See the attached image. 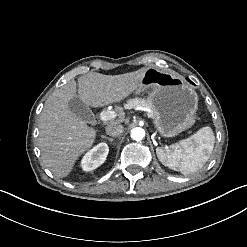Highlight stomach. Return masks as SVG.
I'll use <instances>...</instances> for the list:
<instances>
[{"label":"stomach","instance_id":"stomach-1","mask_svg":"<svg viewBox=\"0 0 247 247\" xmlns=\"http://www.w3.org/2000/svg\"><path fill=\"white\" fill-rule=\"evenodd\" d=\"M144 92H151L148 97L150 109L164 136H174L194 124L198 95L182 75L173 70L147 67L133 91L135 95Z\"/></svg>","mask_w":247,"mask_h":247}]
</instances>
